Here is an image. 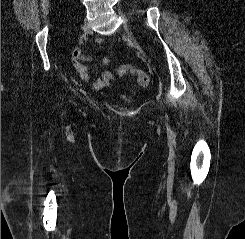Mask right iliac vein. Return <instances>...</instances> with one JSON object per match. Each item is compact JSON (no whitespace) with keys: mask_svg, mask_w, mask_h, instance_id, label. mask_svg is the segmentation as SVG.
I'll use <instances>...</instances> for the list:
<instances>
[{"mask_svg":"<svg viewBox=\"0 0 245 239\" xmlns=\"http://www.w3.org/2000/svg\"><path fill=\"white\" fill-rule=\"evenodd\" d=\"M82 29H83L84 33H86V34L90 33V31H91V27H90L89 23H87V22H85L83 24Z\"/></svg>","mask_w":245,"mask_h":239,"instance_id":"1","label":"right iliac vein"}]
</instances>
